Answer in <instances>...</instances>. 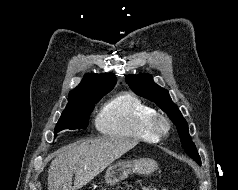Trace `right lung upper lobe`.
I'll return each instance as SVG.
<instances>
[{"label": "right lung upper lobe", "mask_w": 238, "mask_h": 190, "mask_svg": "<svg viewBox=\"0 0 238 190\" xmlns=\"http://www.w3.org/2000/svg\"><path fill=\"white\" fill-rule=\"evenodd\" d=\"M116 83L115 75L105 74H86L76 89L70 91L67 106H72L83 97L108 93Z\"/></svg>", "instance_id": "1"}]
</instances>
